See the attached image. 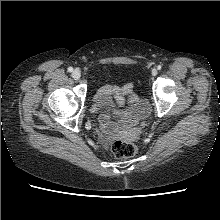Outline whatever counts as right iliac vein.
I'll return each instance as SVG.
<instances>
[{
  "label": "right iliac vein",
  "instance_id": "obj_1",
  "mask_svg": "<svg viewBox=\"0 0 220 220\" xmlns=\"http://www.w3.org/2000/svg\"><path fill=\"white\" fill-rule=\"evenodd\" d=\"M72 77L75 79V80H78L80 77H81V71L76 68L73 72H72Z\"/></svg>",
  "mask_w": 220,
  "mask_h": 220
}]
</instances>
